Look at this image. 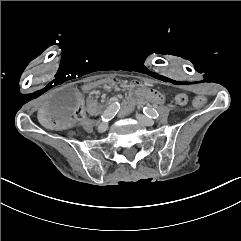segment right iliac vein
<instances>
[{"label": "right iliac vein", "mask_w": 241, "mask_h": 241, "mask_svg": "<svg viewBox=\"0 0 241 241\" xmlns=\"http://www.w3.org/2000/svg\"><path fill=\"white\" fill-rule=\"evenodd\" d=\"M107 128H108V123L102 122V123L98 126V132L102 133V132L106 131Z\"/></svg>", "instance_id": "right-iliac-vein-1"}]
</instances>
